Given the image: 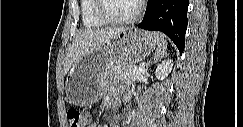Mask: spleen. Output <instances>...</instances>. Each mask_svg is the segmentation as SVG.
Returning a JSON list of instances; mask_svg holds the SVG:
<instances>
[{"label": "spleen", "instance_id": "1", "mask_svg": "<svg viewBox=\"0 0 243 127\" xmlns=\"http://www.w3.org/2000/svg\"><path fill=\"white\" fill-rule=\"evenodd\" d=\"M154 42L157 45L155 51V60H159L166 55L167 42L163 35L154 33Z\"/></svg>", "mask_w": 243, "mask_h": 127}]
</instances>
